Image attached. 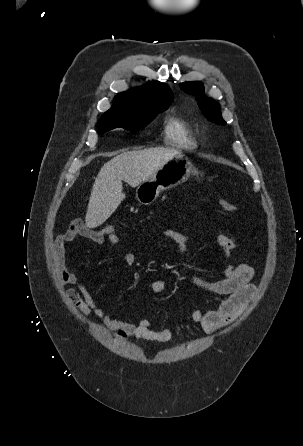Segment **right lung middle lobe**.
<instances>
[{"mask_svg":"<svg viewBox=\"0 0 303 446\" xmlns=\"http://www.w3.org/2000/svg\"><path fill=\"white\" fill-rule=\"evenodd\" d=\"M168 107L169 105L158 106L148 112L140 114L107 111L99 120V132L104 133L114 128H124L131 132H137L150 123L157 113L165 111Z\"/></svg>","mask_w":303,"mask_h":446,"instance_id":"dd1d6c3e","label":"right lung middle lobe"}]
</instances>
